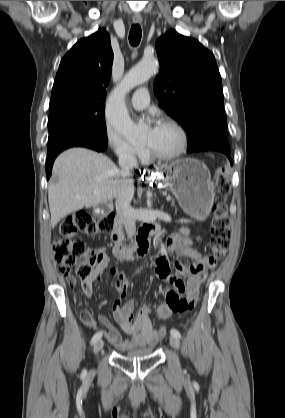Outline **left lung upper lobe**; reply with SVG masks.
<instances>
[{"instance_id": "obj_1", "label": "left lung upper lobe", "mask_w": 285, "mask_h": 418, "mask_svg": "<svg viewBox=\"0 0 285 418\" xmlns=\"http://www.w3.org/2000/svg\"><path fill=\"white\" fill-rule=\"evenodd\" d=\"M160 72L154 81L159 106L188 134V152L217 147L230 150L222 81L212 52L174 30L156 42Z\"/></svg>"}]
</instances>
